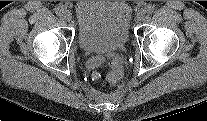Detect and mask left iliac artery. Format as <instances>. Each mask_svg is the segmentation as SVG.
Masks as SVG:
<instances>
[{"label":"left iliac artery","instance_id":"left-iliac-artery-1","mask_svg":"<svg viewBox=\"0 0 207 121\" xmlns=\"http://www.w3.org/2000/svg\"><path fill=\"white\" fill-rule=\"evenodd\" d=\"M154 6L153 5H148V6H146L145 7V12L147 13V14H151L153 11H154Z\"/></svg>","mask_w":207,"mask_h":121}]
</instances>
